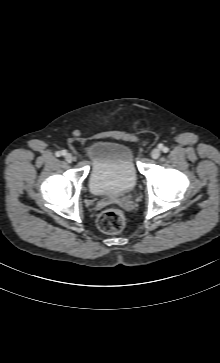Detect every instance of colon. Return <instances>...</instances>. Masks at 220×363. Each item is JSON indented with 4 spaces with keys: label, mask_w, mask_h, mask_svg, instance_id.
<instances>
[{
    "label": "colon",
    "mask_w": 220,
    "mask_h": 363,
    "mask_svg": "<svg viewBox=\"0 0 220 363\" xmlns=\"http://www.w3.org/2000/svg\"><path fill=\"white\" fill-rule=\"evenodd\" d=\"M97 225L105 233L115 234L121 232L126 226L123 213L114 208L102 211L97 218Z\"/></svg>",
    "instance_id": "obj_1"
}]
</instances>
